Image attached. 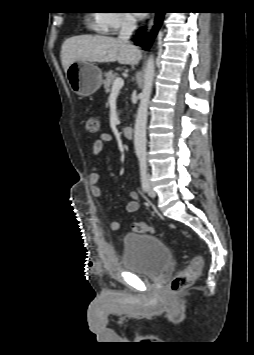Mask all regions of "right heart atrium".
Listing matches in <instances>:
<instances>
[{"mask_svg":"<svg viewBox=\"0 0 254 355\" xmlns=\"http://www.w3.org/2000/svg\"><path fill=\"white\" fill-rule=\"evenodd\" d=\"M95 28L107 34H115L122 29L131 28L135 21L130 13L122 10H104L95 13L93 18Z\"/></svg>","mask_w":254,"mask_h":355,"instance_id":"obj_1","label":"right heart atrium"}]
</instances>
